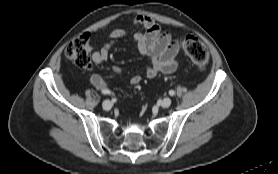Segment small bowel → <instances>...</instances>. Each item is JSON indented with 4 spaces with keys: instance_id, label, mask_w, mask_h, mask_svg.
Segmentation results:
<instances>
[{
    "instance_id": "c3829d8e",
    "label": "small bowel",
    "mask_w": 278,
    "mask_h": 174,
    "mask_svg": "<svg viewBox=\"0 0 278 174\" xmlns=\"http://www.w3.org/2000/svg\"><path fill=\"white\" fill-rule=\"evenodd\" d=\"M133 25L143 28V32H136L133 40L137 44L140 54L149 57L151 62L146 66L144 75L147 78H154L159 74H170L178 67L177 56L180 51V44L171 33L161 27L149 16H137ZM127 32L123 29H113L108 35V42L99 50L93 53L92 60L96 65L106 61L113 45L120 39L125 38ZM114 73H121V68L113 67ZM142 80V75L135 74L130 78V84L135 86ZM91 84L99 90H108L107 81L98 74L90 77ZM111 93V91H110Z\"/></svg>"
}]
</instances>
